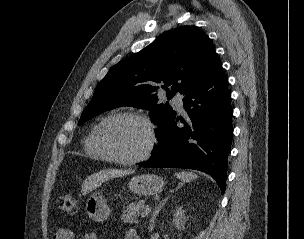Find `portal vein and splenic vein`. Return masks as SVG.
<instances>
[{"label": "portal vein and splenic vein", "instance_id": "portal-vein-and-splenic-vein-1", "mask_svg": "<svg viewBox=\"0 0 304 239\" xmlns=\"http://www.w3.org/2000/svg\"><path fill=\"white\" fill-rule=\"evenodd\" d=\"M150 212V208H146L142 213H141V217H146Z\"/></svg>", "mask_w": 304, "mask_h": 239}]
</instances>
